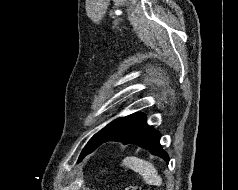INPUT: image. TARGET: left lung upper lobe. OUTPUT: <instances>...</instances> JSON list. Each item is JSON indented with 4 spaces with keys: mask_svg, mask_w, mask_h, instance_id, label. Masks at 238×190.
<instances>
[{
    "mask_svg": "<svg viewBox=\"0 0 238 190\" xmlns=\"http://www.w3.org/2000/svg\"><path fill=\"white\" fill-rule=\"evenodd\" d=\"M119 119V118H118ZM114 120L111 123H109L107 126H105L103 129H101L98 133H96L87 143V145L83 148L81 155L79 159L84 158L88 153L93 151L95 148L101 145L102 140L105 138L107 135L108 131H110L113 127V125L116 123L118 120Z\"/></svg>",
    "mask_w": 238,
    "mask_h": 190,
    "instance_id": "1",
    "label": "left lung upper lobe"
}]
</instances>
